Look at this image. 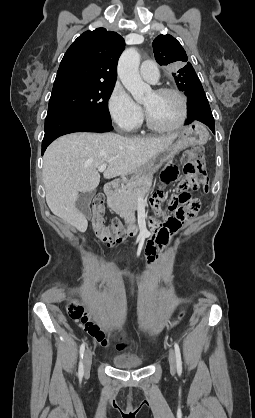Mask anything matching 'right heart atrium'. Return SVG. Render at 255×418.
<instances>
[{
	"mask_svg": "<svg viewBox=\"0 0 255 418\" xmlns=\"http://www.w3.org/2000/svg\"><path fill=\"white\" fill-rule=\"evenodd\" d=\"M107 110L111 120L121 131H133L142 122L143 112L141 107L119 85L113 88L108 98Z\"/></svg>",
	"mask_w": 255,
	"mask_h": 418,
	"instance_id": "obj_1",
	"label": "right heart atrium"
}]
</instances>
